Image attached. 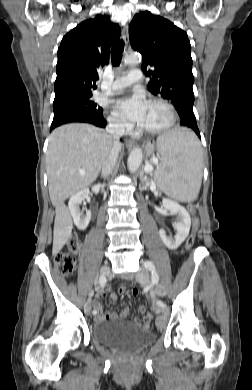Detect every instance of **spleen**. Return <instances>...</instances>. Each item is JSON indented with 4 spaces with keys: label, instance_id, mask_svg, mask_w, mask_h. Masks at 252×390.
I'll return each mask as SVG.
<instances>
[{
    "label": "spleen",
    "instance_id": "3e777b00",
    "mask_svg": "<svg viewBox=\"0 0 252 390\" xmlns=\"http://www.w3.org/2000/svg\"><path fill=\"white\" fill-rule=\"evenodd\" d=\"M162 162L154 179L169 197L180 202L197 199L203 174V152L194 133L176 128L157 139Z\"/></svg>",
    "mask_w": 252,
    "mask_h": 390
}]
</instances>
